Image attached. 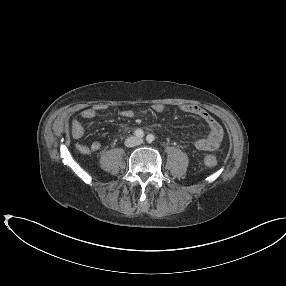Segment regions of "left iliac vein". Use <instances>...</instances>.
Wrapping results in <instances>:
<instances>
[{
  "instance_id": "1",
  "label": "left iliac vein",
  "mask_w": 286,
  "mask_h": 286,
  "mask_svg": "<svg viewBox=\"0 0 286 286\" xmlns=\"http://www.w3.org/2000/svg\"><path fill=\"white\" fill-rule=\"evenodd\" d=\"M143 143V139H137V144L140 145Z\"/></svg>"
}]
</instances>
